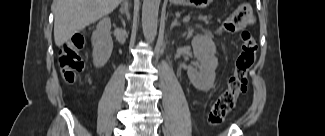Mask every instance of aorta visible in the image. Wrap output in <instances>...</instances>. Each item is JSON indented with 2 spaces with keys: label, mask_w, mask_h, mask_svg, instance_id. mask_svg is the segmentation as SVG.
<instances>
[{
  "label": "aorta",
  "mask_w": 325,
  "mask_h": 136,
  "mask_svg": "<svg viewBox=\"0 0 325 136\" xmlns=\"http://www.w3.org/2000/svg\"><path fill=\"white\" fill-rule=\"evenodd\" d=\"M159 5L160 0H143L142 28L148 42L154 41L157 34Z\"/></svg>",
  "instance_id": "aorta-1"
}]
</instances>
